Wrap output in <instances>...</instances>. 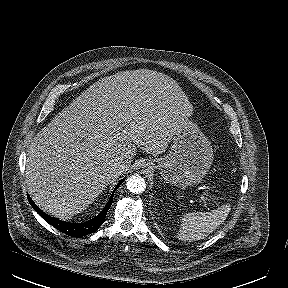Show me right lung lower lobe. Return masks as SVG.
Returning <instances> with one entry per match:
<instances>
[{"instance_id": "1", "label": "right lung lower lobe", "mask_w": 288, "mask_h": 288, "mask_svg": "<svg viewBox=\"0 0 288 288\" xmlns=\"http://www.w3.org/2000/svg\"><path fill=\"white\" fill-rule=\"evenodd\" d=\"M124 180H121L115 187L112 196L110 197L107 205L105 206V208L99 213V215H97L95 218L84 222V223H67L64 221H60L54 217H51L49 215H47L46 213H44L42 210H40L37 205L33 202V200L31 199L30 196L28 197V201L31 204V206L34 208V210L45 220L47 221L49 224H51L53 227L57 228L58 230H60L61 232L69 235V236H73V237H82L85 235H88L92 232H95L100 226L101 224H103V222L105 221V217L106 214L108 212V209L110 208L112 201H113V196H114V192L115 190L119 187V185L123 182Z\"/></svg>"}]
</instances>
